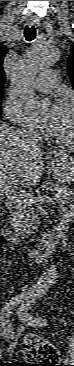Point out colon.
Returning a JSON list of instances; mask_svg holds the SVG:
<instances>
[{
	"label": "colon",
	"instance_id": "1",
	"mask_svg": "<svg viewBox=\"0 0 74 366\" xmlns=\"http://www.w3.org/2000/svg\"><path fill=\"white\" fill-rule=\"evenodd\" d=\"M24 357L28 360L40 359L43 361H49L52 363L39 364L41 366H53V362L56 360V350L48 342L37 340L31 337L24 346Z\"/></svg>",
	"mask_w": 74,
	"mask_h": 366
}]
</instances>
